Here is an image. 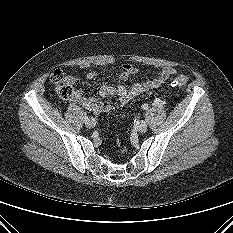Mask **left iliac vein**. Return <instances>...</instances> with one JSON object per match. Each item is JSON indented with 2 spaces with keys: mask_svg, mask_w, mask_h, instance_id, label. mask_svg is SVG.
Instances as JSON below:
<instances>
[{
  "mask_svg": "<svg viewBox=\"0 0 233 233\" xmlns=\"http://www.w3.org/2000/svg\"><path fill=\"white\" fill-rule=\"evenodd\" d=\"M147 123L145 121H140L137 125H136V130L138 132L144 133L147 131Z\"/></svg>",
  "mask_w": 233,
  "mask_h": 233,
  "instance_id": "obj_1",
  "label": "left iliac vein"
}]
</instances>
